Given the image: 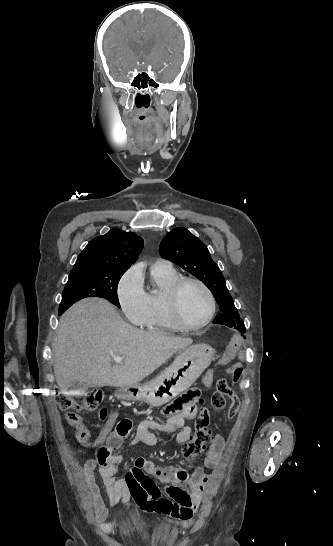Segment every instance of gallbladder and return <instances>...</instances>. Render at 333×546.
Wrapping results in <instances>:
<instances>
[{"label": "gallbladder", "instance_id": "1", "mask_svg": "<svg viewBox=\"0 0 333 546\" xmlns=\"http://www.w3.org/2000/svg\"><path fill=\"white\" fill-rule=\"evenodd\" d=\"M74 387L77 388V389H79V390H81V391L87 390V388H86L85 386L80 385V384H76Z\"/></svg>", "mask_w": 333, "mask_h": 546}]
</instances>
